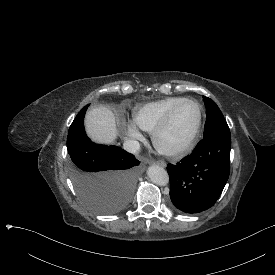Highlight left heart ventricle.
<instances>
[{
  "label": "left heart ventricle",
  "instance_id": "1",
  "mask_svg": "<svg viewBox=\"0 0 275 275\" xmlns=\"http://www.w3.org/2000/svg\"><path fill=\"white\" fill-rule=\"evenodd\" d=\"M196 118L197 110L193 104L180 105L173 115L169 130L162 139L163 143L174 146L182 142L193 129Z\"/></svg>",
  "mask_w": 275,
  "mask_h": 275
}]
</instances>
